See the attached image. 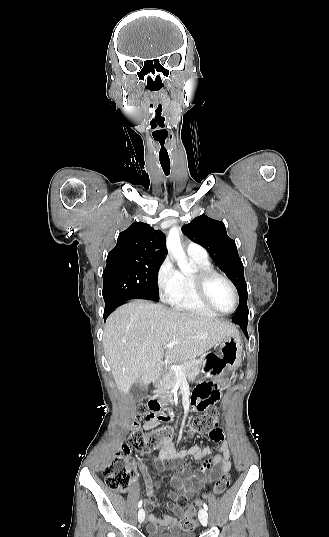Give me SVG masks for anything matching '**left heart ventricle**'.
Returning <instances> with one entry per match:
<instances>
[{
    "label": "left heart ventricle",
    "mask_w": 329,
    "mask_h": 537,
    "mask_svg": "<svg viewBox=\"0 0 329 537\" xmlns=\"http://www.w3.org/2000/svg\"><path fill=\"white\" fill-rule=\"evenodd\" d=\"M208 296L212 304L223 312H229L234 306V296L230 287L220 279H213L208 284Z\"/></svg>",
    "instance_id": "b2bd125f"
}]
</instances>
